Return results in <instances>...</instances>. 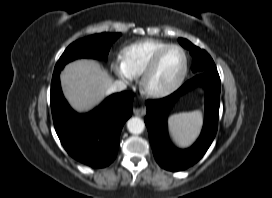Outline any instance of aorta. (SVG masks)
I'll return each mask as SVG.
<instances>
[{
    "label": "aorta",
    "mask_w": 272,
    "mask_h": 198,
    "mask_svg": "<svg viewBox=\"0 0 272 198\" xmlns=\"http://www.w3.org/2000/svg\"><path fill=\"white\" fill-rule=\"evenodd\" d=\"M127 128L132 134H140L145 128L144 121L138 117L130 118L127 122Z\"/></svg>",
    "instance_id": "1"
}]
</instances>
